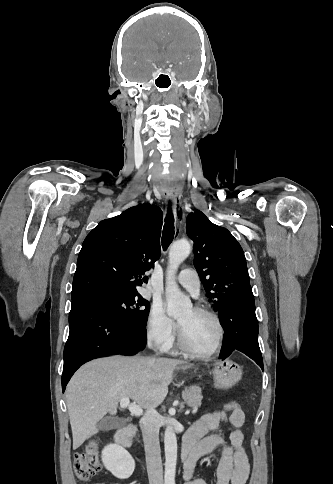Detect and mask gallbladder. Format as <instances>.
<instances>
[{"label": "gallbladder", "mask_w": 333, "mask_h": 484, "mask_svg": "<svg viewBox=\"0 0 333 484\" xmlns=\"http://www.w3.org/2000/svg\"><path fill=\"white\" fill-rule=\"evenodd\" d=\"M125 424V421L122 417L118 416H108L103 419H101L97 427L100 431H109V430H115L118 428L123 427Z\"/></svg>", "instance_id": "obj_1"}]
</instances>
